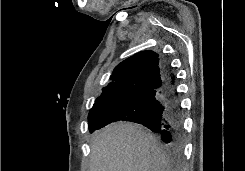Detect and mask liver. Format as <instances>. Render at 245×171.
<instances>
[{"mask_svg":"<svg viewBox=\"0 0 245 171\" xmlns=\"http://www.w3.org/2000/svg\"><path fill=\"white\" fill-rule=\"evenodd\" d=\"M89 171H175L144 127L118 122L95 132Z\"/></svg>","mask_w":245,"mask_h":171,"instance_id":"obj_1","label":"liver"}]
</instances>
